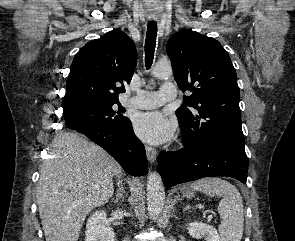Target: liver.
I'll list each match as a JSON object with an SVG mask.
<instances>
[{"mask_svg": "<svg viewBox=\"0 0 295 241\" xmlns=\"http://www.w3.org/2000/svg\"><path fill=\"white\" fill-rule=\"evenodd\" d=\"M40 171L36 190L46 241H78L89 212L114 192L119 164L102 148L77 133L59 134Z\"/></svg>", "mask_w": 295, "mask_h": 241, "instance_id": "1", "label": "liver"}]
</instances>
